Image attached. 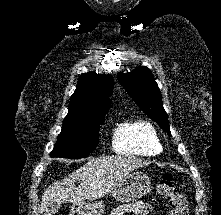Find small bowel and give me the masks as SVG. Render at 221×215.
I'll return each instance as SVG.
<instances>
[{"label": "small bowel", "instance_id": "obj_1", "mask_svg": "<svg viewBox=\"0 0 221 215\" xmlns=\"http://www.w3.org/2000/svg\"><path fill=\"white\" fill-rule=\"evenodd\" d=\"M153 211V206L149 203L136 202L124 204L113 210L111 215H124L126 213H134L140 215H149Z\"/></svg>", "mask_w": 221, "mask_h": 215}]
</instances>
